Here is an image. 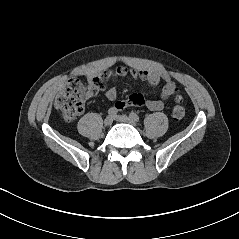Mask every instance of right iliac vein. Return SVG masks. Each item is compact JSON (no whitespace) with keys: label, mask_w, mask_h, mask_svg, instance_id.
Segmentation results:
<instances>
[{"label":"right iliac vein","mask_w":239,"mask_h":239,"mask_svg":"<svg viewBox=\"0 0 239 239\" xmlns=\"http://www.w3.org/2000/svg\"><path fill=\"white\" fill-rule=\"evenodd\" d=\"M112 122H113V117L112 116H107L104 120V124L106 126H110L112 124Z\"/></svg>","instance_id":"1"}]
</instances>
